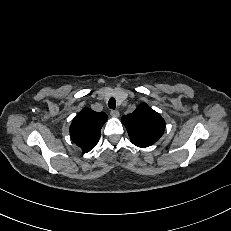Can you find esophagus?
I'll use <instances>...</instances> for the list:
<instances>
[{
    "mask_svg": "<svg viewBox=\"0 0 231 231\" xmlns=\"http://www.w3.org/2000/svg\"><path fill=\"white\" fill-rule=\"evenodd\" d=\"M110 115L112 116V117H119V111L118 110H111L110 111Z\"/></svg>",
    "mask_w": 231,
    "mask_h": 231,
    "instance_id": "esophagus-1",
    "label": "esophagus"
}]
</instances>
